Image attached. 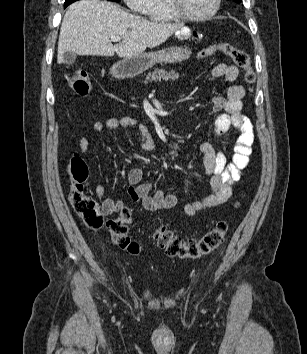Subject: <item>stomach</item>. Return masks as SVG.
Returning <instances> with one entry per match:
<instances>
[{"label":"stomach","instance_id":"1","mask_svg":"<svg viewBox=\"0 0 307 354\" xmlns=\"http://www.w3.org/2000/svg\"><path fill=\"white\" fill-rule=\"evenodd\" d=\"M191 31V30H189ZM189 40L190 38H179ZM190 51L183 47H171L156 52L144 53L136 57L124 58L112 67V73L120 78L139 75L156 63H177L188 59Z\"/></svg>","mask_w":307,"mask_h":354}]
</instances>
